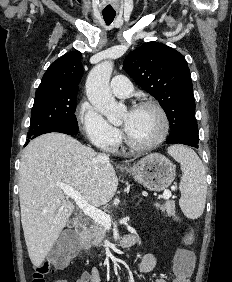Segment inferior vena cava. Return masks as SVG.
<instances>
[{
  "mask_svg": "<svg viewBox=\"0 0 232 282\" xmlns=\"http://www.w3.org/2000/svg\"><path fill=\"white\" fill-rule=\"evenodd\" d=\"M98 159L102 160V161H108L109 157L106 154H104V153H99Z\"/></svg>",
  "mask_w": 232,
  "mask_h": 282,
  "instance_id": "1",
  "label": "inferior vena cava"
}]
</instances>
